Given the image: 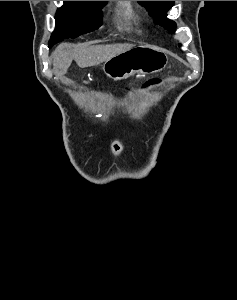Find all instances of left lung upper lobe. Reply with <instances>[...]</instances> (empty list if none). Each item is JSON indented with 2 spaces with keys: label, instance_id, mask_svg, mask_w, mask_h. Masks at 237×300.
Returning a JSON list of instances; mask_svg holds the SVG:
<instances>
[{
  "label": "left lung upper lobe",
  "instance_id": "obj_1",
  "mask_svg": "<svg viewBox=\"0 0 237 300\" xmlns=\"http://www.w3.org/2000/svg\"><path fill=\"white\" fill-rule=\"evenodd\" d=\"M140 4L145 5L150 12V15L155 17V22L171 33H174L176 24L166 18V12L174 5V1H138Z\"/></svg>",
  "mask_w": 237,
  "mask_h": 300
}]
</instances>
